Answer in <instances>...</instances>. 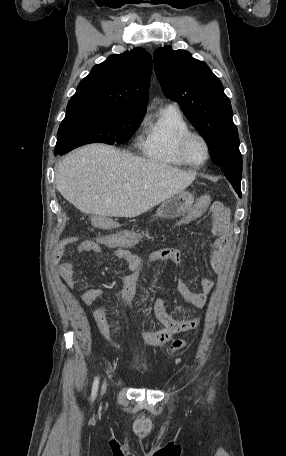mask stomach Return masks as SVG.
<instances>
[{
    "instance_id": "stomach-1",
    "label": "stomach",
    "mask_w": 286,
    "mask_h": 456,
    "mask_svg": "<svg viewBox=\"0 0 286 456\" xmlns=\"http://www.w3.org/2000/svg\"><path fill=\"white\" fill-rule=\"evenodd\" d=\"M194 196L185 191L164 200L156 211L161 218H176L184 215L193 205Z\"/></svg>"
}]
</instances>
